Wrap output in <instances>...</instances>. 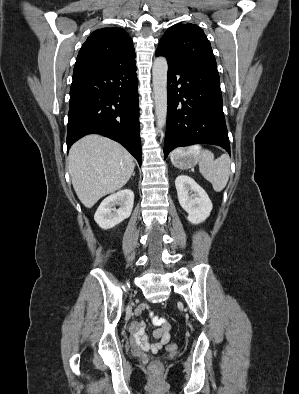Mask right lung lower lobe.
<instances>
[{"mask_svg":"<svg viewBox=\"0 0 299 394\" xmlns=\"http://www.w3.org/2000/svg\"><path fill=\"white\" fill-rule=\"evenodd\" d=\"M136 63L104 67L73 75L67 149L87 134L122 144L141 166Z\"/></svg>","mask_w":299,"mask_h":394,"instance_id":"obj_1","label":"right lung lower lobe"}]
</instances>
